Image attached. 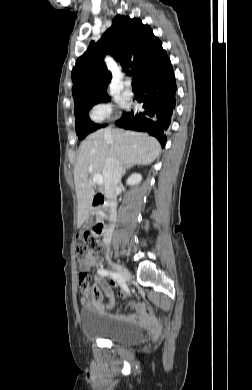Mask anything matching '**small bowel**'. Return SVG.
I'll use <instances>...</instances> for the list:
<instances>
[{
	"label": "small bowel",
	"mask_w": 252,
	"mask_h": 390,
	"mask_svg": "<svg viewBox=\"0 0 252 390\" xmlns=\"http://www.w3.org/2000/svg\"><path fill=\"white\" fill-rule=\"evenodd\" d=\"M100 265H101L100 260L96 257H92L91 259L84 262L83 264H80V268L82 271H89L92 267L94 266L99 267ZM94 285L97 289H102L105 295L109 299L107 303L103 304L100 300V295H98L97 300H95L94 302V307L98 310V312L119 321H135L141 323H151V327L154 331L159 330V324L156 320H154L152 316L151 306L145 308L140 304L130 302L129 307L133 310V314L125 315L120 313L119 311L112 313L110 312V310L114 306V292L112 290V285H114V282L111 284L107 283V281L104 279V276L98 273V275L94 277ZM120 296L125 298L128 296V294L126 291H121ZM81 301L84 305L87 304L86 300L82 299Z\"/></svg>",
	"instance_id": "1"
}]
</instances>
